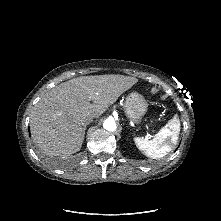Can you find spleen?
<instances>
[{"label":"spleen","instance_id":"spleen-1","mask_svg":"<svg viewBox=\"0 0 221 221\" xmlns=\"http://www.w3.org/2000/svg\"><path fill=\"white\" fill-rule=\"evenodd\" d=\"M180 132V121L174 116L169 122L157 133L154 138L136 137L134 142L137 148L147 157L158 159L167 155L174 144H176Z\"/></svg>","mask_w":221,"mask_h":221}]
</instances>
